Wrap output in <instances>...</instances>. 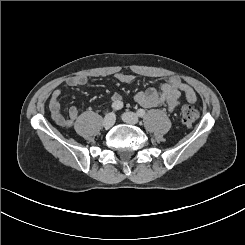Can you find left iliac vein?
I'll list each match as a JSON object with an SVG mask.
<instances>
[{
  "label": "left iliac vein",
  "mask_w": 245,
  "mask_h": 245,
  "mask_svg": "<svg viewBox=\"0 0 245 245\" xmlns=\"http://www.w3.org/2000/svg\"><path fill=\"white\" fill-rule=\"evenodd\" d=\"M123 121L128 124H137L139 122V117L133 112H126L123 114Z\"/></svg>",
  "instance_id": "obj_1"
}]
</instances>
